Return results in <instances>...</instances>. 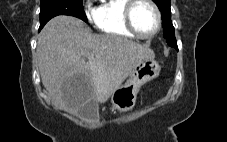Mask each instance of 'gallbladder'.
Segmentation results:
<instances>
[{
	"instance_id": "1",
	"label": "gallbladder",
	"mask_w": 227,
	"mask_h": 142,
	"mask_svg": "<svg viewBox=\"0 0 227 142\" xmlns=\"http://www.w3.org/2000/svg\"><path fill=\"white\" fill-rule=\"evenodd\" d=\"M98 112H99V107L95 101L87 102L78 111L80 117L84 119H89V120L97 119Z\"/></svg>"
}]
</instances>
